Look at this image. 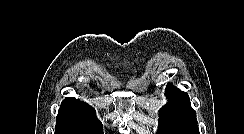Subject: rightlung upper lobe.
I'll return each instance as SVG.
<instances>
[{
  "label": "right lung upper lobe",
  "mask_w": 244,
  "mask_h": 134,
  "mask_svg": "<svg viewBox=\"0 0 244 134\" xmlns=\"http://www.w3.org/2000/svg\"><path fill=\"white\" fill-rule=\"evenodd\" d=\"M58 118H72L80 120L97 119L94 108L76 98H65L59 108Z\"/></svg>",
  "instance_id": "1"
}]
</instances>
